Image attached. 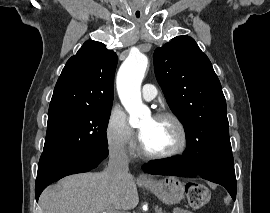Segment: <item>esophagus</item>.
<instances>
[{
	"label": "esophagus",
	"instance_id": "1",
	"mask_svg": "<svg viewBox=\"0 0 270 213\" xmlns=\"http://www.w3.org/2000/svg\"><path fill=\"white\" fill-rule=\"evenodd\" d=\"M138 180L141 182H146V181H148V177L141 174L138 176Z\"/></svg>",
	"mask_w": 270,
	"mask_h": 213
}]
</instances>
